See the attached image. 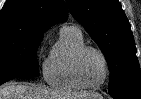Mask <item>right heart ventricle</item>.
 I'll list each match as a JSON object with an SVG mask.
<instances>
[{
  "label": "right heart ventricle",
  "mask_w": 141,
  "mask_h": 99,
  "mask_svg": "<svg viewBox=\"0 0 141 99\" xmlns=\"http://www.w3.org/2000/svg\"><path fill=\"white\" fill-rule=\"evenodd\" d=\"M85 45L80 32L61 31L59 40L50 51L43 65L45 81L64 91H79L84 87L77 81L73 62L77 51Z\"/></svg>",
  "instance_id": "e07e8e85"
}]
</instances>
